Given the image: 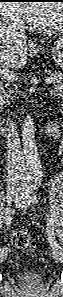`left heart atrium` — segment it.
I'll return each instance as SVG.
<instances>
[{
	"mask_svg": "<svg viewBox=\"0 0 63 297\" xmlns=\"http://www.w3.org/2000/svg\"><path fill=\"white\" fill-rule=\"evenodd\" d=\"M27 10H28L29 13H31V14H33V15H35L36 12H37L36 10H32V9H27Z\"/></svg>",
	"mask_w": 63,
	"mask_h": 297,
	"instance_id": "1",
	"label": "left heart atrium"
}]
</instances>
